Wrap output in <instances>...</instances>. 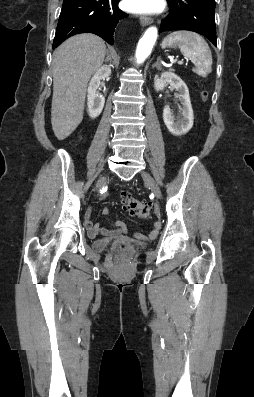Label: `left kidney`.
I'll return each instance as SVG.
<instances>
[{"label": "left kidney", "instance_id": "obj_1", "mask_svg": "<svg viewBox=\"0 0 254 397\" xmlns=\"http://www.w3.org/2000/svg\"><path fill=\"white\" fill-rule=\"evenodd\" d=\"M168 84L178 91L182 106L179 108V119H175L170 107L165 106L163 120L169 132L175 136H182L189 132L193 126L194 115L189 90L184 81L172 72H163L160 76L155 75L154 88L156 91H162Z\"/></svg>", "mask_w": 254, "mask_h": 397}]
</instances>
